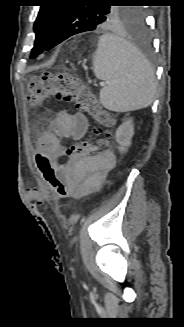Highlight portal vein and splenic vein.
<instances>
[{
  "label": "portal vein and splenic vein",
  "mask_w": 184,
  "mask_h": 327,
  "mask_svg": "<svg viewBox=\"0 0 184 327\" xmlns=\"http://www.w3.org/2000/svg\"><path fill=\"white\" fill-rule=\"evenodd\" d=\"M100 85H101V86H104V85H105V83H104V82H101V83H100Z\"/></svg>",
  "instance_id": "obj_1"
}]
</instances>
